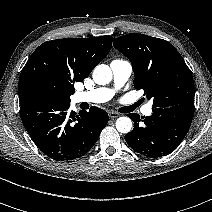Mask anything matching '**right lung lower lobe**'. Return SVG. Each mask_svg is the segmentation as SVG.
<instances>
[{"label":"right lung lower lobe","mask_w":212,"mask_h":212,"mask_svg":"<svg viewBox=\"0 0 212 212\" xmlns=\"http://www.w3.org/2000/svg\"><path fill=\"white\" fill-rule=\"evenodd\" d=\"M70 103L39 101L20 106L21 119L36 146L56 161L85 155L108 123V114L97 107L89 112H68Z\"/></svg>","instance_id":"1"}]
</instances>
